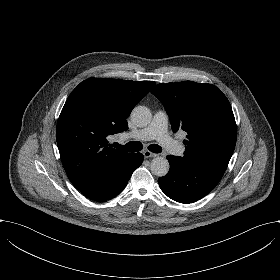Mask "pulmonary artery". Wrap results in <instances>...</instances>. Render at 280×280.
<instances>
[{
	"instance_id": "e3ab8cb5",
	"label": "pulmonary artery",
	"mask_w": 280,
	"mask_h": 280,
	"mask_svg": "<svg viewBox=\"0 0 280 280\" xmlns=\"http://www.w3.org/2000/svg\"><path fill=\"white\" fill-rule=\"evenodd\" d=\"M129 135L144 141L157 140L168 153L176 156L184 155V145L171 138L168 134V116L164 111H157L149 126Z\"/></svg>"
}]
</instances>
